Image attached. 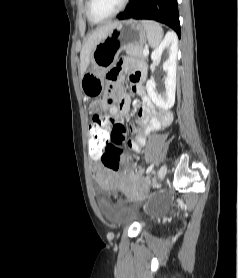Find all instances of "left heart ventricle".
Listing matches in <instances>:
<instances>
[{
    "instance_id": "left-heart-ventricle-1",
    "label": "left heart ventricle",
    "mask_w": 238,
    "mask_h": 278,
    "mask_svg": "<svg viewBox=\"0 0 238 278\" xmlns=\"http://www.w3.org/2000/svg\"><path fill=\"white\" fill-rule=\"evenodd\" d=\"M123 0H93L92 11L93 14L102 18L113 13L121 5Z\"/></svg>"
}]
</instances>
